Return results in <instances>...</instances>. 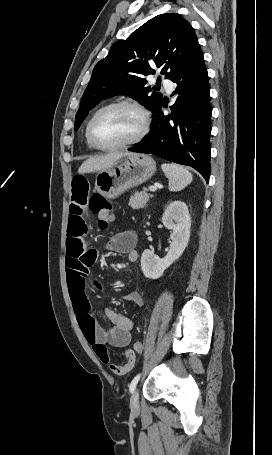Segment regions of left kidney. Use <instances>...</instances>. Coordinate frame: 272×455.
Instances as JSON below:
<instances>
[{
	"mask_svg": "<svg viewBox=\"0 0 272 455\" xmlns=\"http://www.w3.org/2000/svg\"><path fill=\"white\" fill-rule=\"evenodd\" d=\"M162 222L167 229L171 230V244L167 255L161 259L146 249L141 256L142 272L150 279H158L162 276L163 272L182 255L190 238L191 218L184 202H172L166 208Z\"/></svg>",
	"mask_w": 272,
	"mask_h": 455,
	"instance_id": "obj_1",
	"label": "left kidney"
}]
</instances>
